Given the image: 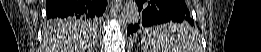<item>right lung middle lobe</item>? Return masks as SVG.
<instances>
[{
  "label": "right lung middle lobe",
  "mask_w": 261,
  "mask_h": 52,
  "mask_svg": "<svg viewBox=\"0 0 261 52\" xmlns=\"http://www.w3.org/2000/svg\"><path fill=\"white\" fill-rule=\"evenodd\" d=\"M51 21L56 23H65V24H72V23L86 24L91 29H95L99 23V21L96 19H89L84 16L57 17Z\"/></svg>",
  "instance_id": "dd1d6c3e"
}]
</instances>
